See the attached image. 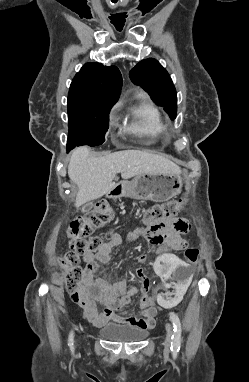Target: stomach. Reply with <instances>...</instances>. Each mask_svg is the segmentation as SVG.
<instances>
[{"label": "stomach", "mask_w": 249, "mask_h": 382, "mask_svg": "<svg viewBox=\"0 0 249 382\" xmlns=\"http://www.w3.org/2000/svg\"><path fill=\"white\" fill-rule=\"evenodd\" d=\"M182 186L183 181L179 174L145 173L137 175L132 181L118 180L109 196L164 202L179 194Z\"/></svg>", "instance_id": "obj_1"}]
</instances>
